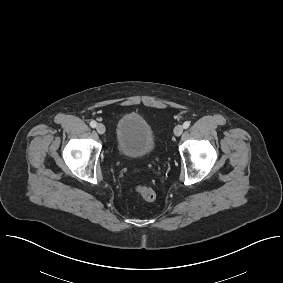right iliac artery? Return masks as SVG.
Returning a JSON list of instances; mask_svg holds the SVG:
<instances>
[{
  "label": "right iliac artery",
  "mask_w": 283,
  "mask_h": 283,
  "mask_svg": "<svg viewBox=\"0 0 283 283\" xmlns=\"http://www.w3.org/2000/svg\"><path fill=\"white\" fill-rule=\"evenodd\" d=\"M96 125H97L96 121L92 120V121L90 122V126H91L92 128H95Z\"/></svg>",
  "instance_id": "right-iliac-artery-1"
}]
</instances>
